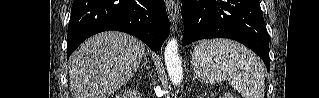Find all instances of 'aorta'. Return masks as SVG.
Listing matches in <instances>:
<instances>
[{
  "mask_svg": "<svg viewBox=\"0 0 319 98\" xmlns=\"http://www.w3.org/2000/svg\"><path fill=\"white\" fill-rule=\"evenodd\" d=\"M165 65L171 82L174 85L180 84L183 78L181 60L178 56V43L175 38L169 40L164 52Z\"/></svg>",
  "mask_w": 319,
  "mask_h": 98,
  "instance_id": "aorta-1",
  "label": "aorta"
}]
</instances>
